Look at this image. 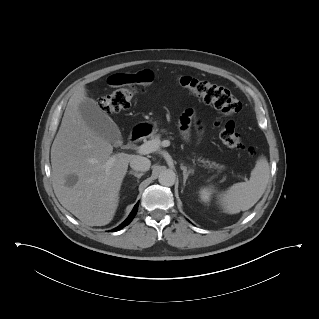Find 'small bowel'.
Returning a JSON list of instances; mask_svg holds the SVG:
<instances>
[{
	"mask_svg": "<svg viewBox=\"0 0 319 319\" xmlns=\"http://www.w3.org/2000/svg\"><path fill=\"white\" fill-rule=\"evenodd\" d=\"M137 75H139L141 78L146 80L147 82H152L153 81V73L150 70H143L139 72ZM193 119V112L188 110L186 111L180 119L179 125L181 130L186 133L187 129L189 128L191 122Z\"/></svg>",
	"mask_w": 319,
	"mask_h": 319,
	"instance_id": "obj_1",
	"label": "small bowel"
}]
</instances>
